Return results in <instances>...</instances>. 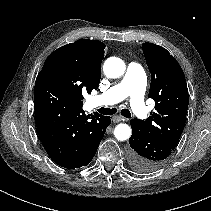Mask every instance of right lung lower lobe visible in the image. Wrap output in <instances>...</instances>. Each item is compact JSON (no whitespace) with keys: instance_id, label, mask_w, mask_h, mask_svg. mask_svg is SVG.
Wrapping results in <instances>:
<instances>
[{"instance_id":"1","label":"right lung lower lobe","mask_w":211,"mask_h":211,"mask_svg":"<svg viewBox=\"0 0 211 211\" xmlns=\"http://www.w3.org/2000/svg\"><path fill=\"white\" fill-rule=\"evenodd\" d=\"M83 101L72 92L44 80H36L34 110L41 142L59 166H86L111 124L109 116L86 115Z\"/></svg>"}]
</instances>
